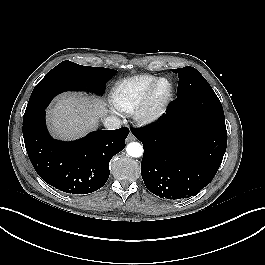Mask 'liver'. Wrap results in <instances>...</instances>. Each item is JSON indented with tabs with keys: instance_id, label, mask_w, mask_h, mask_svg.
Returning <instances> with one entry per match:
<instances>
[{
	"instance_id": "6515ba94",
	"label": "liver",
	"mask_w": 265,
	"mask_h": 265,
	"mask_svg": "<svg viewBox=\"0 0 265 265\" xmlns=\"http://www.w3.org/2000/svg\"><path fill=\"white\" fill-rule=\"evenodd\" d=\"M107 114L106 103L93 96L65 93L47 110L49 129L55 138L70 140L97 127Z\"/></svg>"
}]
</instances>
